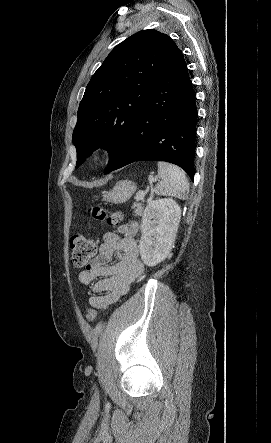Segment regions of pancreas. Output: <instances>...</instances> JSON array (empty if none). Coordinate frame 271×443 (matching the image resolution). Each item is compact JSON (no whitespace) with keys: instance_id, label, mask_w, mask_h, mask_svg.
Masks as SVG:
<instances>
[{"instance_id":"cf45deb5","label":"pancreas","mask_w":271,"mask_h":443,"mask_svg":"<svg viewBox=\"0 0 271 443\" xmlns=\"http://www.w3.org/2000/svg\"><path fill=\"white\" fill-rule=\"evenodd\" d=\"M133 208L135 210V216H142L143 210H144L142 204H138V202H134Z\"/></svg>"}]
</instances>
